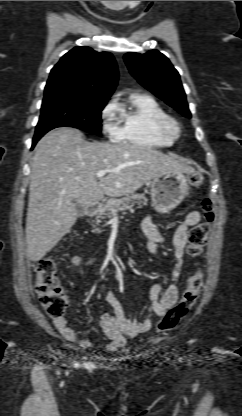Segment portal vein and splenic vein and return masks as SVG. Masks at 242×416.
Wrapping results in <instances>:
<instances>
[{
	"instance_id": "1",
	"label": "portal vein and splenic vein",
	"mask_w": 242,
	"mask_h": 416,
	"mask_svg": "<svg viewBox=\"0 0 242 416\" xmlns=\"http://www.w3.org/2000/svg\"><path fill=\"white\" fill-rule=\"evenodd\" d=\"M109 172H111V170H101V171L97 172L96 175H97L98 178H102Z\"/></svg>"
}]
</instances>
